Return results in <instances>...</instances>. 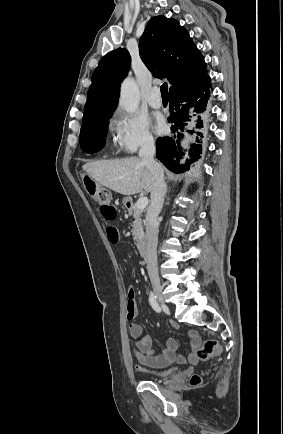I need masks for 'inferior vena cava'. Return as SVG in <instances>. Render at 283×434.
<instances>
[{"mask_svg":"<svg viewBox=\"0 0 283 434\" xmlns=\"http://www.w3.org/2000/svg\"><path fill=\"white\" fill-rule=\"evenodd\" d=\"M155 144L152 138L146 139L139 151V157L150 169L154 178V185L151 191V203L146 214V263L149 278L154 283H159L157 268V244H158V222L157 217L162 210L167 186L164 181V171L154 159Z\"/></svg>","mask_w":283,"mask_h":434,"instance_id":"602c4592","label":"inferior vena cava"}]
</instances>
